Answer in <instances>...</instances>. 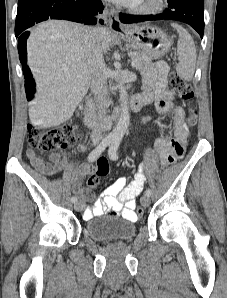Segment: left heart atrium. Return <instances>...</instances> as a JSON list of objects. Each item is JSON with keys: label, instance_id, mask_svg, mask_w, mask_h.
<instances>
[{"label": "left heart atrium", "instance_id": "obj_1", "mask_svg": "<svg viewBox=\"0 0 227 298\" xmlns=\"http://www.w3.org/2000/svg\"><path fill=\"white\" fill-rule=\"evenodd\" d=\"M111 1H114L122 5H126V6H132L134 4H137L139 0H111Z\"/></svg>", "mask_w": 227, "mask_h": 298}]
</instances>
